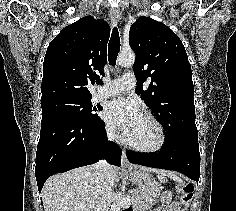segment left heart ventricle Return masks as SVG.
<instances>
[{"label":"left heart ventricle","mask_w":236,"mask_h":211,"mask_svg":"<svg viewBox=\"0 0 236 211\" xmlns=\"http://www.w3.org/2000/svg\"><path fill=\"white\" fill-rule=\"evenodd\" d=\"M125 138L133 144L151 147L158 141V131L150 121L141 117Z\"/></svg>","instance_id":"left-heart-ventricle-1"}]
</instances>
